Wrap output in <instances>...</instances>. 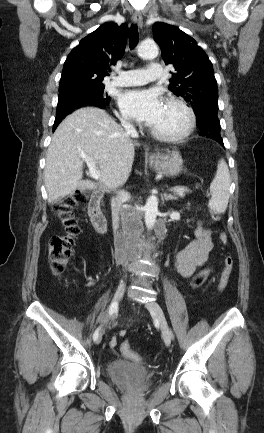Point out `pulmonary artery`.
<instances>
[{"label":"pulmonary artery","instance_id":"1","mask_svg":"<svg viewBox=\"0 0 264 433\" xmlns=\"http://www.w3.org/2000/svg\"><path fill=\"white\" fill-rule=\"evenodd\" d=\"M163 77L161 65L151 63L146 70L130 69L119 72V76L112 80V84L119 87L138 86Z\"/></svg>","mask_w":264,"mask_h":433}]
</instances>
